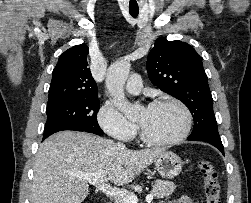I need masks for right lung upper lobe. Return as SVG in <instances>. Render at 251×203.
Instances as JSON below:
<instances>
[{"label": "right lung upper lobe", "mask_w": 251, "mask_h": 203, "mask_svg": "<svg viewBox=\"0 0 251 203\" xmlns=\"http://www.w3.org/2000/svg\"><path fill=\"white\" fill-rule=\"evenodd\" d=\"M86 44L73 46L59 57L52 73L47 107L98 98L97 84L88 68Z\"/></svg>", "instance_id": "right-lung-upper-lobe-1"}]
</instances>
